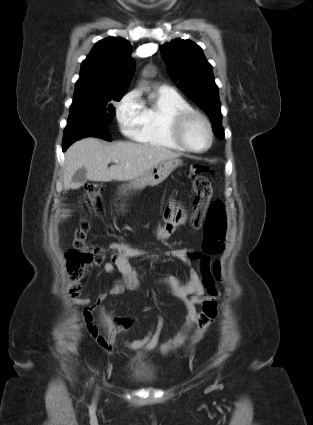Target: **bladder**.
<instances>
[{"label":"bladder","instance_id":"obj_1","mask_svg":"<svg viewBox=\"0 0 313 425\" xmlns=\"http://www.w3.org/2000/svg\"><path fill=\"white\" fill-rule=\"evenodd\" d=\"M132 375L139 381L148 382L153 379V372L142 363L141 359L133 362Z\"/></svg>","mask_w":313,"mask_h":425}]
</instances>
